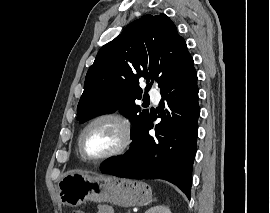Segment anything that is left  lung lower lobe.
Here are the masks:
<instances>
[{
	"label": "left lung lower lobe",
	"instance_id": "left-lung-lower-lobe-1",
	"mask_svg": "<svg viewBox=\"0 0 270 213\" xmlns=\"http://www.w3.org/2000/svg\"><path fill=\"white\" fill-rule=\"evenodd\" d=\"M169 110L156 125V136L149 118L131 135V150L102 165L101 172L133 179H164L178 186L189 198L192 166L196 154L198 133L197 73L192 65L161 90Z\"/></svg>",
	"mask_w": 270,
	"mask_h": 213
}]
</instances>
